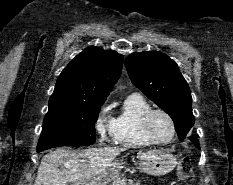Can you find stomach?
Segmentation results:
<instances>
[{"mask_svg":"<svg viewBox=\"0 0 233 185\" xmlns=\"http://www.w3.org/2000/svg\"><path fill=\"white\" fill-rule=\"evenodd\" d=\"M137 160L141 171L155 176L168 174L177 164L176 158L172 154L162 150L139 152ZM121 168L119 162H114L110 168L97 177L76 182L73 185H107L119 177Z\"/></svg>","mask_w":233,"mask_h":185,"instance_id":"obj_1","label":"stomach"}]
</instances>
